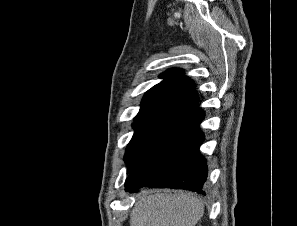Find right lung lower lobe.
<instances>
[{"mask_svg": "<svg viewBox=\"0 0 297 226\" xmlns=\"http://www.w3.org/2000/svg\"><path fill=\"white\" fill-rule=\"evenodd\" d=\"M204 113L193 105L172 119L155 136L137 165L129 172L125 191L141 187L173 188L205 195L207 162L199 152Z\"/></svg>", "mask_w": 297, "mask_h": 226, "instance_id": "right-lung-lower-lobe-1", "label": "right lung lower lobe"}]
</instances>
